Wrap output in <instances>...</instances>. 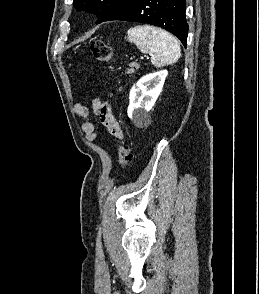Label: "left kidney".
I'll use <instances>...</instances> for the list:
<instances>
[{
    "label": "left kidney",
    "instance_id": "1",
    "mask_svg": "<svg viewBox=\"0 0 259 294\" xmlns=\"http://www.w3.org/2000/svg\"><path fill=\"white\" fill-rule=\"evenodd\" d=\"M168 75L167 70H161L146 76H143L134 85L129 95V106L127 113L130 119L137 122L148 117V112L155 105L160 95L165 79Z\"/></svg>",
    "mask_w": 259,
    "mask_h": 294
}]
</instances>
